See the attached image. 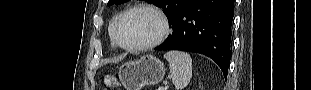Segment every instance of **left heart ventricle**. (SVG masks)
Here are the masks:
<instances>
[{
	"instance_id": "obj_1",
	"label": "left heart ventricle",
	"mask_w": 311,
	"mask_h": 90,
	"mask_svg": "<svg viewBox=\"0 0 311 90\" xmlns=\"http://www.w3.org/2000/svg\"><path fill=\"white\" fill-rule=\"evenodd\" d=\"M160 32V22L149 12L137 11L126 16L118 28V37L125 45H140L153 40Z\"/></svg>"
}]
</instances>
